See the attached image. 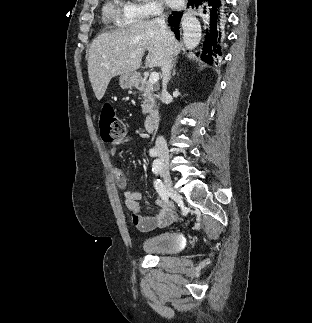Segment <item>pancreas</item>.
<instances>
[{
    "label": "pancreas",
    "instance_id": "cf45deb5",
    "mask_svg": "<svg viewBox=\"0 0 312 323\" xmlns=\"http://www.w3.org/2000/svg\"><path fill=\"white\" fill-rule=\"evenodd\" d=\"M141 90L143 92V104H141L143 114H154L155 110L158 108L155 100L157 94H154L156 90H154L150 82H145Z\"/></svg>",
    "mask_w": 312,
    "mask_h": 323
}]
</instances>
